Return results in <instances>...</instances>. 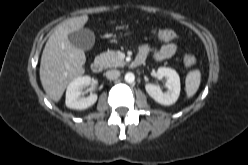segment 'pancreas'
<instances>
[{
	"label": "pancreas",
	"instance_id": "obj_1",
	"mask_svg": "<svg viewBox=\"0 0 248 165\" xmlns=\"http://www.w3.org/2000/svg\"><path fill=\"white\" fill-rule=\"evenodd\" d=\"M99 57L102 60L105 68L123 67L125 65V61L120 59L118 51L108 50L107 52L100 54Z\"/></svg>",
	"mask_w": 248,
	"mask_h": 165
}]
</instances>
